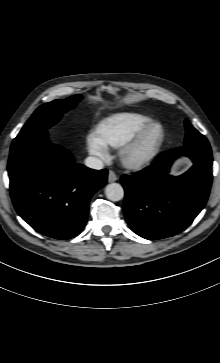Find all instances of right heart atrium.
Returning <instances> with one entry per match:
<instances>
[{"label": "right heart atrium", "mask_w": 220, "mask_h": 363, "mask_svg": "<svg viewBox=\"0 0 220 363\" xmlns=\"http://www.w3.org/2000/svg\"><path fill=\"white\" fill-rule=\"evenodd\" d=\"M86 145L89 153L100 161L105 162L109 159V149L96 132L88 134Z\"/></svg>", "instance_id": "obj_1"}]
</instances>
